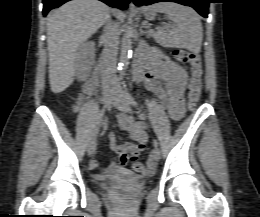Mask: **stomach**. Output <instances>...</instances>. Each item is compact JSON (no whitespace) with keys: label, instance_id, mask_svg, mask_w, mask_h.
<instances>
[{"label":"stomach","instance_id":"stomach-1","mask_svg":"<svg viewBox=\"0 0 260 217\" xmlns=\"http://www.w3.org/2000/svg\"><path fill=\"white\" fill-rule=\"evenodd\" d=\"M145 16L148 20H153L155 18V13L153 10H148Z\"/></svg>","mask_w":260,"mask_h":217}]
</instances>
